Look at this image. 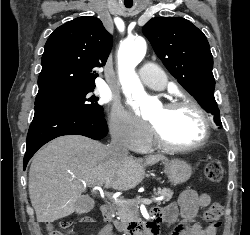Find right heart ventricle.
Masks as SVG:
<instances>
[{
    "mask_svg": "<svg viewBox=\"0 0 250 235\" xmlns=\"http://www.w3.org/2000/svg\"><path fill=\"white\" fill-rule=\"evenodd\" d=\"M155 146H156V144H155V142L151 138L150 141H149V143L144 147L143 150L148 151V150H151V149L155 148Z\"/></svg>",
    "mask_w": 250,
    "mask_h": 235,
    "instance_id": "right-heart-ventricle-1",
    "label": "right heart ventricle"
}]
</instances>
